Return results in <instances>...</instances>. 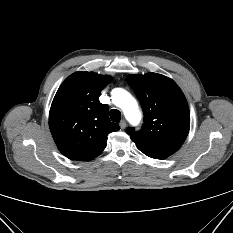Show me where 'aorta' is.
<instances>
[{
  "label": "aorta",
  "instance_id": "obj_1",
  "mask_svg": "<svg viewBox=\"0 0 233 233\" xmlns=\"http://www.w3.org/2000/svg\"><path fill=\"white\" fill-rule=\"evenodd\" d=\"M113 103L123 110L126 119L132 124L137 125L141 119V113L136 100L129 92L122 88H115L111 92Z\"/></svg>",
  "mask_w": 233,
  "mask_h": 233
}]
</instances>
